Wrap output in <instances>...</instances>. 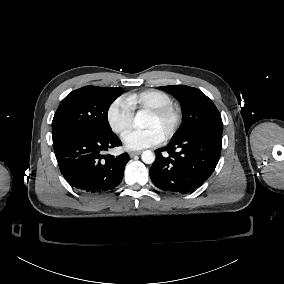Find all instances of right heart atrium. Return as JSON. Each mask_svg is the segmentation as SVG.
I'll list each match as a JSON object with an SVG mask.
<instances>
[{
	"label": "right heart atrium",
	"mask_w": 284,
	"mask_h": 284,
	"mask_svg": "<svg viewBox=\"0 0 284 284\" xmlns=\"http://www.w3.org/2000/svg\"><path fill=\"white\" fill-rule=\"evenodd\" d=\"M134 108L128 97L120 96L114 99L106 110V122L115 134L124 133L133 120Z\"/></svg>",
	"instance_id": "obj_1"
}]
</instances>
